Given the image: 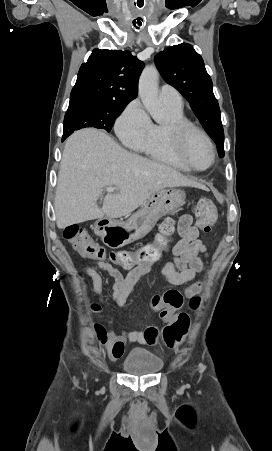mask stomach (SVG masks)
I'll list each match as a JSON object with an SVG mask.
<instances>
[{
    "label": "stomach",
    "instance_id": "stomach-1",
    "mask_svg": "<svg viewBox=\"0 0 272 451\" xmlns=\"http://www.w3.org/2000/svg\"><path fill=\"white\" fill-rule=\"evenodd\" d=\"M185 198V192L176 188L154 192L148 200H145L141 210L135 212L126 222H113L105 227L102 233L103 243L117 249L144 237L162 216L179 210L185 204Z\"/></svg>",
    "mask_w": 272,
    "mask_h": 451
}]
</instances>
